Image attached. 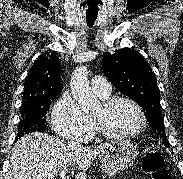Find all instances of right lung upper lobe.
<instances>
[{"mask_svg":"<svg viewBox=\"0 0 183 179\" xmlns=\"http://www.w3.org/2000/svg\"><path fill=\"white\" fill-rule=\"evenodd\" d=\"M61 61L52 51L40 55L25 79L22 103L41 97L57 96L62 90Z\"/></svg>","mask_w":183,"mask_h":179,"instance_id":"cb5924a9","label":"right lung upper lobe"}]
</instances>
